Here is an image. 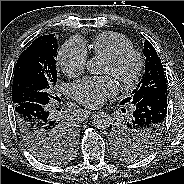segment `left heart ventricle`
Masks as SVG:
<instances>
[{
	"instance_id": "1",
	"label": "left heart ventricle",
	"mask_w": 184,
	"mask_h": 184,
	"mask_svg": "<svg viewBox=\"0 0 184 184\" xmlns=\"http://www.w3.org/2000/svg\"><path fill=\"white\" fill-rule=\"evenodd\" d=\"M103 73L105 74L111 73V68L106 62L104 64Z\"/></svg>"
}]
</instances>
